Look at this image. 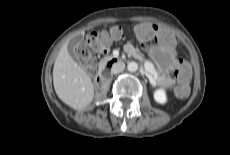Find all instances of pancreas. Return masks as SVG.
<instances>
[{"mask_svg":"<svg viewBox=\"0 0 230 155\" xmlns=\"http://www.w3.org/2000/svg\"><path fill=\"white\" fill-rule=\"evenodd\" d=\"M124 50L132 55L134 58L140 60V61H143L144 58L142 56V54L137 50V49H134L132 47H128L127 45L124 47ZM112 57H108V59H110ZM145 63H150L149 61L145 60ZM151 64V63H150ZM150 73V72H148ZM151 74V73H150ZM156 80L157 82L167 86V87H171L173 84H174V80L168 75V74H163V75H158L156 77Z\"/></svg>","mask_w":230,"mask_h":155,"instance_id":"1","label":"pancreas"}]
</instances>
